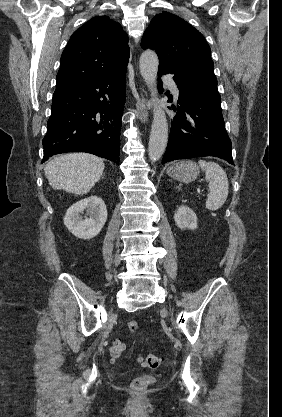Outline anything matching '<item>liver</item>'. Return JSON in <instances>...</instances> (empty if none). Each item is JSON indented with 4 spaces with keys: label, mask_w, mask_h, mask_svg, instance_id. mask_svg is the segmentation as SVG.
<instances>
[{
    "label": "liver",
    "mask_w": 282,
    "mask_h": 417,
    "mask_svg": "<svg viewBox=\"0 0 282 417\" xmlns=\"http://www.w3.org/2000/svg\"><path fill=\"white\" fill-rule=\"evenodd\" d=\"M103 158L88 152H69L55 156L45 164V176L52 188L86 194L100 180L104 170Z\"/></svg>",
    "instance_id": "obj_1"
}]
</instances>
